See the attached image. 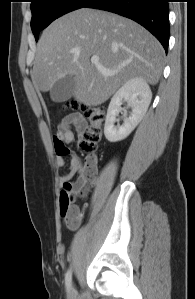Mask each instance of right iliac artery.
Masks as SVG:
<instances>
[{
	"mask_svg": "<svg viewBox=\"0 0 195 299\" xmlns=\"http://www.w3.org/2000/svg\"><path fill=\"white\" fill-rule=\"evenodd\" d=\"M71 282H72V272L71 269H69L66 273V277H65V285H66V289L69 291V289L71 288Z\"/></svg>",
	"mask_w": 195,
	"mask_h": 299,
	"instance_id": "right-iliac-artery-1",
	"label": "right iliac artery"
}]
</instances>
